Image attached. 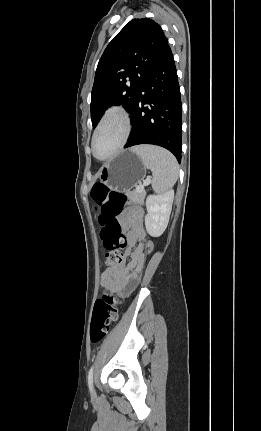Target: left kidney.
<instances>
[{"label": "left kidney", "instance_id": "left-kidney-1", "mask_svg": "<svg viewBox=\"0 0 261 431\" xmlns=\"http://www.w3.org/2000/svg\"><path fill=\"white\" fill-rule=\"evenodd\" d=\"M173 199V191L147 197L145 227L150 236L159 237L165 231L169 222Z\"/></svg>", "mask_w": 261, "mask_h": 431}]
</instances>
